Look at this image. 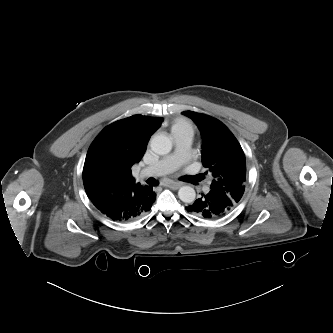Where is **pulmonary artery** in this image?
I'll list each match as a JSON object with an SVG mask.
<instances>
[{
    "label": "pulmonary artery",
    "instance_id": "pulmonary-artery-1",
    "mask_svg": "<svg viewBox=\"0 0 333 333\" xmlns=\"http://www.w3.org/2000/svg\"><path fill=\"white\" fill-rule=\"evenodd\" d=\"M173 138L175 143L174 152L160 161L143 168L139 173L140 178L167 174L189 159L193 139L192 130L176 132L173 134Z\"/></svg>",
    "mask_w": 333,
    "mask_h": 333
}]
</instances>
